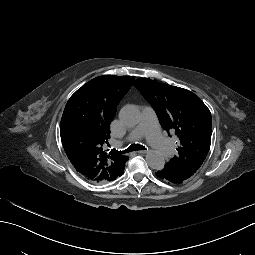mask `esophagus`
Instances as JSON below:
<instances>
[{"instance_id":"1","label":"esophagus","mask_w":255,"mask_h":255,"mask_svg":"<svg viewBox=\"0 0 255 255\" xmlns=\"http://www.w3.org/2000/svg\"><path fill=\"white\" fill-rule=\"evenodd\" d=\"M136 152L139 153V154H145V153H147V150H138Z\"/></svg>"}]
</instances>
